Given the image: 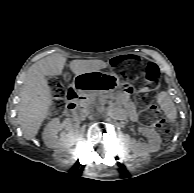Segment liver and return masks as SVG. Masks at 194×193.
Wrapping results in <instances>:
<instances>
[{
	"label": "liver",
	"instance_id": "6515ba94",
	"mask_svg": "<svg viewBox=\"0 0 194 193\" xmlns=\"http://www.w3.org/2000/svg\"><path fill=\"white\" fill-rule=\"evenodd\" d=\"M66 57L50 55L34 63L27 71L18 106V122L27 140L33 139L42 122L50 115L53 95L46 76L61 75ZM102 60H72L70 69L75 75L106 68Z\"/></svg>",
	"mask_w": 194,
	"mask_h": 193
}]
</instances>
